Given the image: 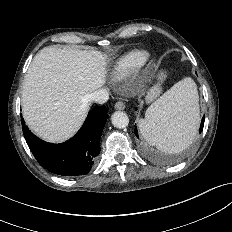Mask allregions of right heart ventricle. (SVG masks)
Here are the masks:
<instances>
[{
    "label": "right heart ventricle",
    "mask_w": 232,
    "mask_h": 232,
    "mask_svg": "<svg viewBox=\"0 0 232 232\" xmlns=\"http://www.w3.org/2000/svg\"><path fill=\"white\" fill-rule=\"evenodd\" d=\"M150 54L146 50H132L117 59L113 66L112 74L118 79L128 77L139 70L149 59Z\"/></svg>",
    "instance_id": "obj_1"
}]
</instances>
